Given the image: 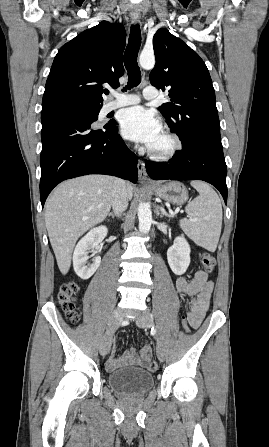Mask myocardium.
Segmentation results:
<instances>
[{
	"label": "myocardium",
	"instance_id": "1",
	"mask_svg": "<svg viewBox=\"0 0 269 447\" xmlns=\"http://www.w3.org/2000/svg\"><path fill=\"white\" fill-rule=\"evenodd\" d=\"M163 130L171 138L172 147L168 151H166L164 153H160V154L153 153L152 151H150L148 149V147L146 148L147 155L151 159H153L154 161H157V162H168V161L174 159L183 147L182 139L176 132H174L169 127H165Z\"/></svg>",
	"mask_w": 269,
	"mask_h": 447
}]
</instances>
